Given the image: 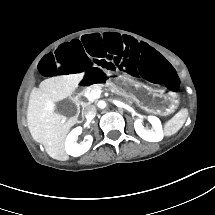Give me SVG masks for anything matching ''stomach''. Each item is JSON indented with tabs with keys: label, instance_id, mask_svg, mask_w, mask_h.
Segmentation results:
<instances>
[{
	"label": "stomach",
	"instance_id": "0dacf381",
	"mask_svg": "<svg viewBox=\"0 0 215 215\" xmlns=\"http://www.w3.org/2000/svg\"><path fill=\"white\" fill-rule=\"evenodd\" d=\"M125 91L137 103L155 109L165 111L173 109L177 105V99L168 93H151L143 87H137L130 83L125 84Z\"/></svg>",
	"mask_w": 215,
	"mask_h": 215
}]
</instances>
